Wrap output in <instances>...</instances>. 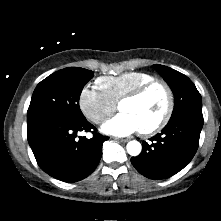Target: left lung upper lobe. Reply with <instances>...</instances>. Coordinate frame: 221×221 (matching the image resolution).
I'll list each match as a JSON object with an SVG mask.
<instances>
[{"label":"left lung upper lobe","mask_w":221,"mask_h":221,"mask_svg":"<svg viewBox=\"0 0 221 221\" xmlns=\"http://www.w3.org/2000/svg\"><path fill=\"white\" fill-rule=\"evenodd\" d=\"M167 81L175 97L171 119L184 112H202V98L194 83L184 74L163 65H153Z\"/></svg>","instance_id":"left-lung-upper-lobe-1"}]
</instances>
